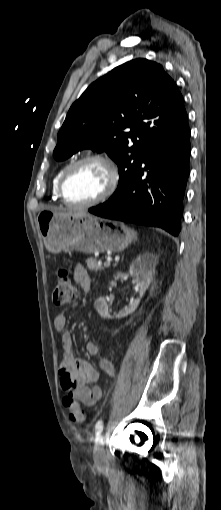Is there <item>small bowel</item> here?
Wrapping results in <instances>:
<instances>
[{"instance_id": "1", "label": "small bowel", "mask_w": 221, "mask_h": 510, "mask_svg": "<svg viewBox=\"0 0 221 510\" xmlns=\"http://www.w3.org/2000/svg\"><path fill=\"white\" fill-rule=\"evenodd\" d=\"M73 278L84 291L90 290L91 277L83 265L75 266ZM67 323L68 319L64 314H58L54 318V326L57 330H64ZM62 344L64 353L59 367L60 387L67 395L84 405L93 406L101 399L103 393L99 385V372L89 362L75 354L72 334H63ZM86 351L92 356H99V347L93 342L87 343ZM99 366L107 375L114 374V365L110 360L101 358Z\"/></svg>"}]
</instances>
